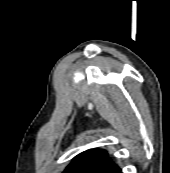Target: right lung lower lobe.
<instances>
[{"instance_id":"right-lung-lower-lobe-1","label":"right lung lower lobe","mask_w":170,"mask_h":173,"mask_svg":"<svg viewBox=\"0 0 170 173\" xmlns=\"http://www.w3.org/2000/svg\"><path fill=\"white\" fill-rule=\"evenodd\" d=\"M107 173H121V169L117 166L116 168L111 169Z\"/></svg>"}]
</instances>
